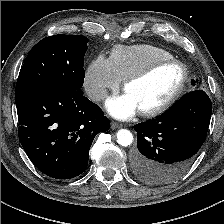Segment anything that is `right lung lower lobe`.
<instances>
[{
  "label": "right lung lower lobe",
  "instance_id": "98d812e1",
  "mask_svg": "<svg viewBox=\"0 0 224 224\" xmlns=\"http://www.w3.org/2000/svg\"><path fill=\"white\" fill-rule=\"evenodd\" d=\"M16 107L23 149L42 173L56 179L83 173L95 136L110 128L100 107L81 90L40 89Z\"/></svg>",
  "mask_w": 224,
  "mask_h": 224
}]
</instances>
